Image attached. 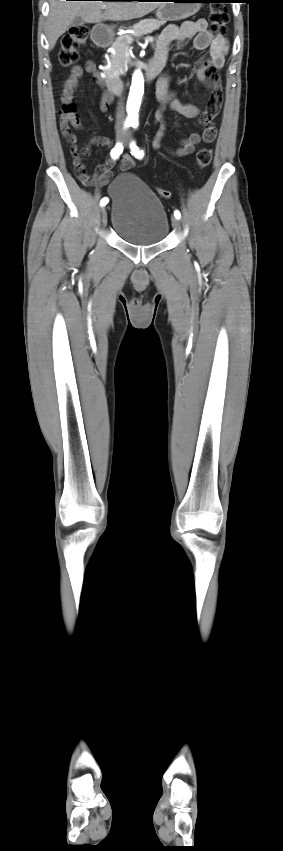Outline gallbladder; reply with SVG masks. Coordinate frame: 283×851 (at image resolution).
I'll list each match as a JSON object with an SVG mask.
<instances>
[{"instance_id": "obj_1", "label": "gallbladder", "mask_w": 283, "mask_h": 851, "mask_svg": "<svg viewBox=\"0 0 283 851\" xmlns=\"http://www.w3.org/2000/svg\"><path fill=\"white\" fill-rule=\"evenodd\" d=\"M82 24H84V20L81 17H75L73 22H72V26H75V27L80 26Z\"/></svg>"}]
</instances>
